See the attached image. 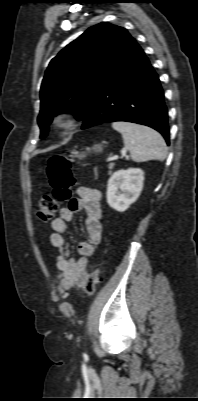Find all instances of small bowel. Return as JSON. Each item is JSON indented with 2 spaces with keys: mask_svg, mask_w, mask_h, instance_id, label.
Wrapping results in <instances>:
<instances>
[{
  "mask_svg": "<svg viewBox=\"0 0 198 401\" xmlns=\"http://www.w3.org/2000/svg\"><path fill=\"white\" fill-rule=\"evenodd\" d=\"M77 195L68 206L60 209L59 215L52 221L50 242L57 252L56 282L63 291L79 289L86 285L89 278V259L94 255L103 233L100 191L80 186ZM81 211L86 213L85 228L89 240L79 243V257L74 258L70 256L65 235L67 224L74 220L75 213Z\"/></svg>",
  "mask_w": 198,
  "mask_h": 401,
  "instance_id": "obj_1",
  "label": "small bowel"
}]
</instances>
